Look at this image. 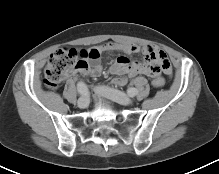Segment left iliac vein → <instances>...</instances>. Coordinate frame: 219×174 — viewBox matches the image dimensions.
Instances as JSON below:
<instances>
[{"label": "left iliac vein", "instance_id": "obj_1", "mask_svg": "<svg viewBox=\"0 0 219 174\" xmlns=\"http://www.w3.org/2000/svg\"><path fill=\"white\" fill-rule=\"evenodd\" d=\"M96 91L106 97L117 100L122 105H131L133 103L132 99L128 95L115 89L98 87L96 88Z\"/></svg>", "mask_w": 219, "mask_h": 174}]
</instances>
